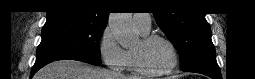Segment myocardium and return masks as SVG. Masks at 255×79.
Masks as SVG:
<instances>
[{"instance_id":"1","label":"myocardium","mask_w":255,"mask_h":79,"mask_svg":"<svg viewBox=\"0 0 255 79\" xmlns=\"http://www.w3.org/2000/svg\"><path fill=\"white\" fill-rule=\"evenodd\" d=\"M156 39L162 40L163 42H165L168 45L170 52H171V61H170L169 65L163 70L150 71L144 67L138 52L135 50H132L134 67H135V70L139 74H142L145 76H162V75L170 73L172 70H174L176 68V66L178 64V60H179L178 50H177L175 44L169 38H167L165 35L158 34V33L148 34V35H145L141 39V42L143 44H148Z\"/></svg>"}]
</instances>
